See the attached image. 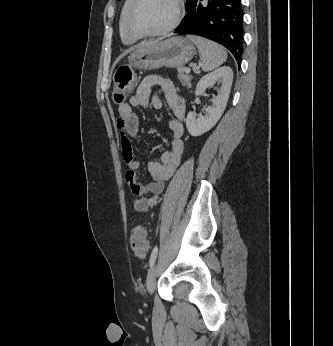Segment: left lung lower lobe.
Wrapping results in <instances>:
<instances>
[{
  "instance_id": "0a47b994",
  "label": "left lung lower lobe",
  "mask_w": 333,
  "mask_h": 346,
  "mask_svg": "<svg viewBox=\"0 0 333 346\" xmlns=\"http://www.w3.org/2000/svg\"><path fill=\"white\" fill-rule=\"evenodd\" d=\"M186 16L174 33L193 34L226 47L241 61L243 53V12L241 0H190Z\"/></svg>"
}]
</instances>
